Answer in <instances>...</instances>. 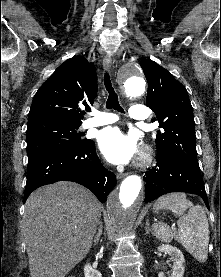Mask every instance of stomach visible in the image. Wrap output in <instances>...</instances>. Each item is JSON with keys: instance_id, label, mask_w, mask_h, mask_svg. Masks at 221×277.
I'll return each instance as SVG.
<instances>
[{"instance_id": "obj_1", "label": "stomach", "mask_w": 221, "mask_h": 277, "mask_svg": "<svg viewBox=\"0 0 221 277\" xmlns=\"http://www.w3.org/2000/svg\"><path fill=\"white\" fill-rule=\"evenodd\" d=\"M155 212H158V209L155 207Z\"/></svg>"}]
</instances>
